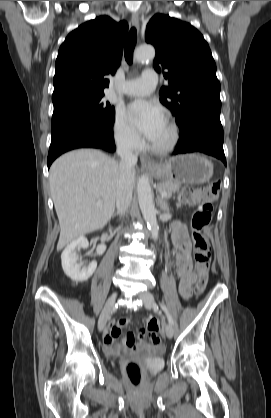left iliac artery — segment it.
Segmentation results:
<instances>
[{"label": "left iliac artery", "instance_id": "1", "mask_svg": "<svg viewBox=\"0 0 271 418\" xmlns=\"http://www.w3.org/2000/svg\"><path fill=\"white\" fill-rule=\"evenodd\" d=\"M159 305H160L161 309L165 312V314L167 316V319H168V322L170 323V325H174V321H173V319H172V317H171V315H170V313H169L166 305L163 302H159Z\"/></svg>", "mask_w": 271, "mask_h": 418}]
</instances>
